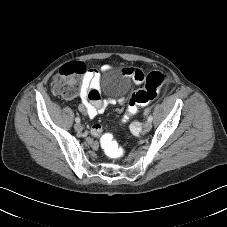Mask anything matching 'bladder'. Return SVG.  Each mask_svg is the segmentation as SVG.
Here are the masks:
<instances>
[{
  "label": "bladder",
  "instance_id": "1",
  "mask_svg": "<svg viewBox=\"0 0 227 227\" xmlns=\"http://www.w3.org/2000/svg\"><path fill=\"white\" fill-rule=\"evenodd\" d=\"M105 85H114L116 87V95L123 96L127 92V84L123 76L108 77L101 85L103 88Z\"/></svg>",
  "mask_w": 227,
  "mask_h": 227
}]
</instances>
